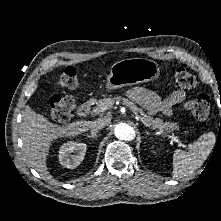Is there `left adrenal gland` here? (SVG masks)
I'll use <instances>...</instances> for the list:
<instances>
[{"mask_svg": "<svg viewBox=\"0 0 221 221\" xmlns=\"http://www.w3.org/2000/svg\"><path fill=\"white\" fill-rule=\"evenodd\" d=\"M146 134H147V135H149V132H148V131H146Z\"/></svg>", "mask_w": 221, "mask_h": 221, "instance_id": "obj_1", "label": "left adrenal gland"}]
</instances>
